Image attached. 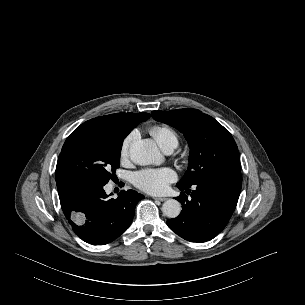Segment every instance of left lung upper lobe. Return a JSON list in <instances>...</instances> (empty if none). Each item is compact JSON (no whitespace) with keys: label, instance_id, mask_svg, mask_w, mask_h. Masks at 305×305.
Masks as SVG:
<instances>
[{"label":"left lung upper lobe","instance_id":"left-lung-upper-lobe-1","mask_svg":"<svg viewBox=\"0 0 305 305\" xmlns=\"http://www.w3.org/2000/svg\"><path fill=\"white\" fill-rule=\"evenodd\" d=\"M152 117L184 134L190 147V163L180 186H191L204 177L240 171L237 145L228 130L197 109L152 111Z\"/></svg>","mask_w":305,"mask_h":305}]
</instances>
